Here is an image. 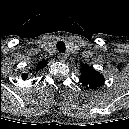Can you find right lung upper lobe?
I'll return each mask as SVG.
<instances>
[{"mask_svg":"<svg viewBox=\"0 0 129 129\" xmlns=\"http://www.w3.org/2000/svg\"><path fill=\"white\" fill-rule=\"evenodd\" d=\"M46 64H47V62L45 60L39 62L38 65H37V70L40 69V68H43Z\"/></svg>","mask_w":129,"mask_h":129,"instance_id":"obj_1","label":"right lung upper lobe"}]
</instances>
